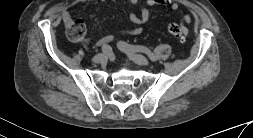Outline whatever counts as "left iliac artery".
<instances>
[{"label":"left iliac artery","instance_id":"1","mask_svg":"<svg viewBox=\"0 0 253 138\" xmlns=\"http://www.w3.org/2000/svg\"><path fill=\"white\" fill-rule=\"evenodd\" d=\"M118 46L120 48H123L125 50H130V51H134V52H143L145 54L148 55V57L152 60V61H156L157 60V57L156 55L151 51L149 50L148 48L144 47V46H140V45H131V44H128L126 42H119L118 43Z\"/></svg>","mask_w":253,"mask_h":138}]
</instances>
